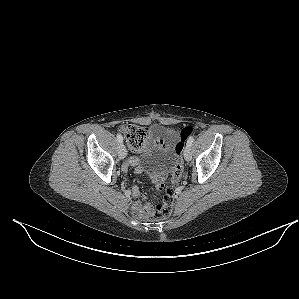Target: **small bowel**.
I'll use <instances>...</instances> for the list:
<instances>
[{"instance_id": "small-bowel-1", "label": "small bowel", "mask_w": 299, "mask_h": 299, "mask_svg": "<svg viewBox=\"0 0 299 299\" xmlns=\"http://www.w3.org/2000/svg\"><path fill=\"white\" fill-rule=\"evenodd\" d=\"M145 147V145H144ZM144 147L140 150L142 151ZM140 151H133V152H140ZM139 165V158L136 156L130 157L127 162L123 165V171L126 172L130 166H138ZM137 173H143L144 170L141 167H137ZM152 179L155 183L160 184L163 181V175L160 174H153ZM132 195L134 198H138L140 195L139 188L134 186L132 188ZM152 207L150 204H143L141 201H136L133 204V211L142 218H145L150 215Z\"/></svg>"}]
</instances>
